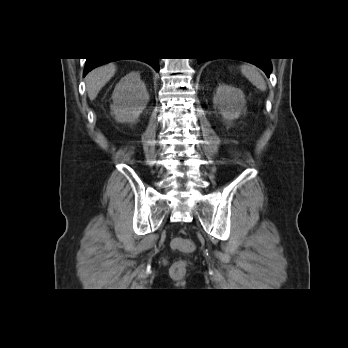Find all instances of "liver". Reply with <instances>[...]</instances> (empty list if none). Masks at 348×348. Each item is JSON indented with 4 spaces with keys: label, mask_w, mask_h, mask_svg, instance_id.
I'll return each mask as SVG.
<instances>
[{
    "label": "liver",
    "mask_w": 348,
    "mask_h": 348,
    "mask_svg": "<svg viewBox=\"0 0 348 348\" xmlns=\"http://www.w3.org/2000/svg\"><path fill=\"white\" fill-rule=\"evenodd\" d=\"M116 66L109 63L92 70L86 77V89L90 100H94L99 91L114 76Z\"/></svg>",
    "instance_id": "6515ba94"
}]
</instances>
